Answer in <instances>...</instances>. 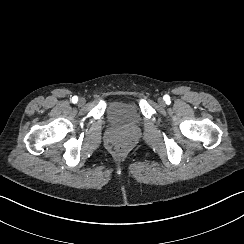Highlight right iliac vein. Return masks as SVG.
<instances>
[{
  "instance_id": "right-iliac-vein-1",
  "label": "right iliac vein",
  "mask_w": 244,
  "mask_h": 244,
  "mask_svg": "<svg viewBox=\"0 0 244 244\" xmlns=\"http://www.w3.org/2000/svg\"><path fill=\"white\" fill-rule=\"evenodd\" d=\"M85 103H86L85 98H80V99H79V102H78L79 106H84Z\"/></svg>"
}]
</instances>
